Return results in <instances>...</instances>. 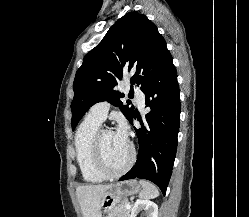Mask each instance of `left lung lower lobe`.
<instances>
[{"instance_id":"0a47b994","label":"left lung lower lobe","mask_w":249,"mask_h":217,"mask_svg":"<svg viewBox=\"0 0 249 217\" xmlns=\"http://www.w3.org/2000/svg\"><path fill=\"white\" fill-rule=\"evenodd\" d=\"M143 92L150 112L146 114L145 127L143 123L142 129L134 127L139 142L137 161L119 181L147 179L165 195L176 155L180 123L179 87L171 54ZM130 123L133 124V119Z\"/></svg>"}]
</instances>
